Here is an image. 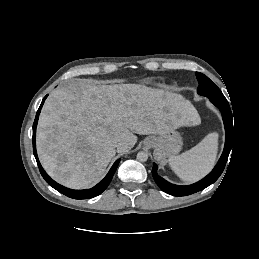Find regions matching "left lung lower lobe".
Segmentation results:
<instances>
[{
    "instance_id": "1",
    "label": "left lung lower lobe",
    "mask_w": 259,
    "mask_h": 259,
    "mask_svg": "<svg viewBox=\"0 0 259 259\" xmlns=\"http://www.w3.org/2000/svg\"><path fill=\"white\" fill-rule=\"evenodd\" d=\"M210 101L219 108V110L222 113L225 131H226V141H225V147L223 150V153L217 163V165L214 167V169L202 180L199 182L188 185V186H179L169 183L168 181L164 180L157 174V165L153 163V169H152V175L157 183V185L167 194L173 195V196H186L193 194L195 192H198L212 183H214L221 173L223 172L229 153L232 148L233 144V123H232V113L229 106L228 101L225 97H208Z\"/></svg>"
}]
</instances>
